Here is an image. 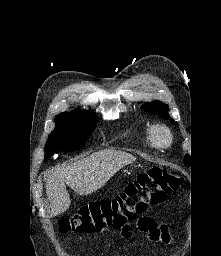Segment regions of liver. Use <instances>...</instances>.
<instances>
[{
	"label": "liver",
	"instance_id": "6515ba94",
	"mask_svg": "<svg viewBox=\"0 0 221 256\" xmlns=\"http://www.w3.org/2000/svg\"><path fill=\"white\" fill-rule=\"evenodd\" d=\"M135 160L129 153L106 149L51 169L45 185L51 216L65 212L71 204L65 184L81 196L90 195L103 187L121 168Z\"/></svg>",
	"mask_w": 221,
	"mask_h": 256
}]
</instances>
